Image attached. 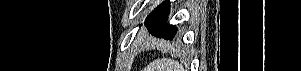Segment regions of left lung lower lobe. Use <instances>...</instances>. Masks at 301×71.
<instances>
[{"mask_svg": "<svg viewBox=\"0 0 301 71\" xmlns=\"http://www.w3.org/2000/svg\"><path fill=\"white\" fill-rule=\"evenodd\" d=\"M168 13L169 1L167 0L148 15L145 20V25L148 31L155 37L173 40L177 29L175 26L167 23Z\"/></svg>", "mask_w": 301, "mask_h": 71, "instance_id": "left-lung-lower-lobe-1", "label": "left lung lower lobe"}]
</instances>
